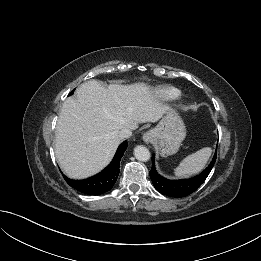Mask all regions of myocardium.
<instances>
[{"mask_svg":"<svg viewBox=\"0 0 261 261\" xmlns=\"http://www.w3.org/2000/svg\"><path fill=\"white\" fill-rule=\"evenodd\" d=\"M184 105H185V103H182V104H181V106H184Z\"/></svg>","mask_w":261,"mask_h":261,"instance_id":"obj_1","label":"myocardium"}]
</instances>
